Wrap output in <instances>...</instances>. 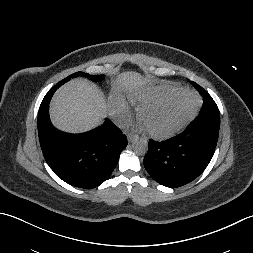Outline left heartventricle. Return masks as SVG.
I'll list each match as a JSON object with an SVG mask.
<instances>
[{
	"label": "left heart ventricle",
	"mask_w": 253,
	"mask_h": 253,
	"mask_svg": "<svg viewBox=\"0 0 253 253\" xmlns=\"http://www.w3.org/2000/svg\"><path fill=\"white\" fill-rule=\"evenodd\" d=\"M192 99L180 96L171 103L148 112L143 118V125L156 132H164L173 128L190 109Z\"/></svg>",
	"instance_id": "1"
}]
</instances>
